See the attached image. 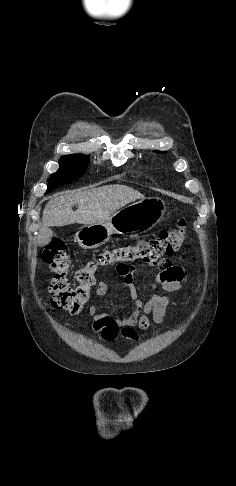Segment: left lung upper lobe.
Returning a JSON list of instances; mask_svg holds the SVG:
<instances>
[{
  "mask_svg": "<svg viewBox=\"0 0 236 486\" xmlns=\"http://www.w3.org/2000/svg\"><path fill=\"white\" fill-rule=\"evenodd\" d=\"M157 153H165V152H160V151H156Z\"/></svg>",
  "mask_w": 236,
  "mask_h": 486,
  "instance_id": "obj_1",
  "label": "left lung upper lobe"
}]
</instances>
